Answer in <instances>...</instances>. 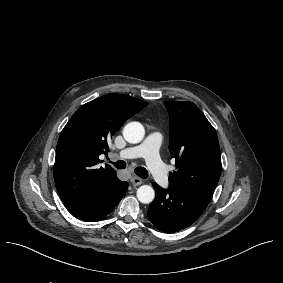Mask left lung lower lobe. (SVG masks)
<instances>
[{"label": "left lung lower lobe", "mask_w": 283, "mask_h": 283, "mask_svg": "<svg viewBox=\"0 0 283 283\" xmlns=\"http://www.w3.org/2000/svg\"><path fill=\"white\" fill-rule=\"evenodd\" d=\"M153 186L156 196L147 216L161 231L173 233L190 226L207 207V202L179 188L165 190L156 183Z\"/></svg>", "instance_id": "1"}]
</instances>
